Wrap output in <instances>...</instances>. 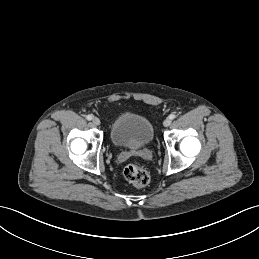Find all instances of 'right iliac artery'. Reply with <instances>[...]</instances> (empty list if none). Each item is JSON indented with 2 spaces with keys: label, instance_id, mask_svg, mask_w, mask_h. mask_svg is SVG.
Returning <instances> with one entry per match:
<instances>
[{
  "label": "right iliac artery",
  "instance_id": "82829eb1",
  "mask_svg": "<svg viewBox=\"0 0 259 259\" xmlns=\"http://www.w3.org/2000/svg\"><path fill=\"white\" fill-rule=\"evenodd\" d=\"M92 117H93L92 115H87L86 119L90 121V120H92Z\"/></svg>",
  "mask_w": 259,
  "mask_h": 259
}]
</instances>
